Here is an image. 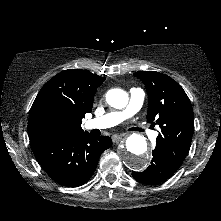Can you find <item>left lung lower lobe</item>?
<instances>
[{
	"instance_id": "1",
	"label": "left lung lower lobe",
	"mask_w": 221,
	"mask_h": 221,
	"mask_svg": "<svg viewBox=\"0 0 221 221\" xmlns=\"http://www.w3.org/2000/svg\"><path fill=\"white\" fill-rule=\"evenodd\" d=\"M150 166L144 172H132V176L139 182L145 184H157L171 177L179 168L160 149L152 151Z\"/></svg>"
}]
</instances>
